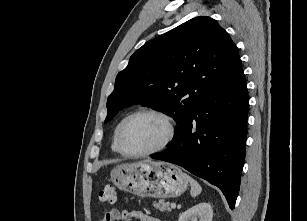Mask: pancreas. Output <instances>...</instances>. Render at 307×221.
I'll return each instance as SVG.
<instances>
[{
  "instance_id": "pancreas-1",
  "label": "pancreas",
  "mask_w": 307,
  "mask_h": 221,
  "mask_svg": "<svg viewBox=\"0 0 307 221\" xmlns=\"http://www.w3.org/2000/svg\"><path fill=\"white\" fill-rule=\"evenodd\" d=\"M170 202H166L164 200H160L158 203H154V207L159 211H169Z\"/></svg>"
}]
</instances>
